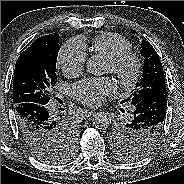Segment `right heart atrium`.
<instances>
[{"label":"right heart atrium","mask_w":184,"mask_h":184,"mask_svg":"<svg viewBox=\"0 0 184 184\" xmlns=\"http://www.w3.org/2000/svg\"><path fill=\"white\" fill-rule=\"evenodd\" d=\"M87 57V49L81 38L68 40L60 49L58 64L63 72L69 76L81 73Z\"/></svg>","instance_id":"obj_1"}]
</instances>
